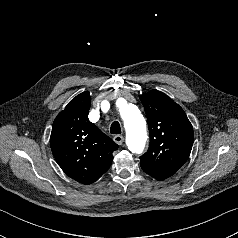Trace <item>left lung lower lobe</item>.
I'll list each match as a JSON object with an SVG mask.
<instances>
[{"label": "left lung lower lobe", "instance_id": "obj_1", "mask_svg": "<svg viewBox=\"0 0 238 238\" xmlns=\"http://www.w3.org/2000/svg\"><path fill=\"white\" fill-rule=\"evenodd\" d=\"M155 178V177H154ZM155 179H157V180H163V179H159V178H155Z\"/></svg>", "mask_w": 238, "mask_h": 238}]
</instances>
